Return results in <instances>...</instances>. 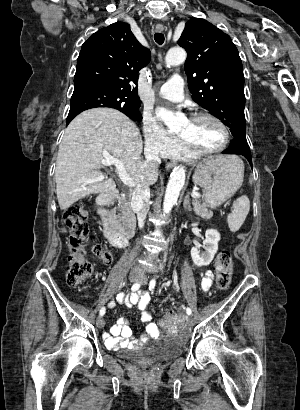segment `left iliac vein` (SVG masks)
Here are the masks:
<instances>
[{
  "mask_svg": "<svg viewBox=\"0 0 300 410\" xmlns=\"http://www.w3.org/2000/svg\"><path fill=\"white\" fill-rule=\"evenodd\" d=\"M140 281H141L142 284H145L146 281H147V278H146L145 276H142L141 279H140ZM185 318H186V321H187L189 324H192V323H193V319H192L191 316H186Z\"/></svg>",
  "mask_w": 300,
  "mask_h": 410,
  "instance_id": "4c4485c4",
  "label": "left iliac vein"
}]
</instances>
